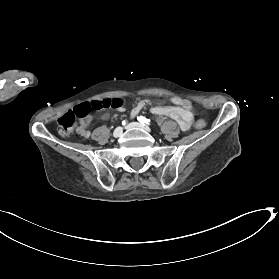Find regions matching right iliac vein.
I'll return each mask as SVG.
<instances>
[{"instance_id":"obj_1","label":"right iliac vein","mask_w":279,"mask_h":279,"mask_svg":"<svg viewBox=\"0 0 279 279\" xmlns=\"http://www.w3.org/2000/svg\"><path fill=\"white\" fill-rule=\"evenodd\" d=\"M123 133V128L122 127H117L114 132H113V136L115 138L120 137Z\"/></svg>"}]
</instances>
